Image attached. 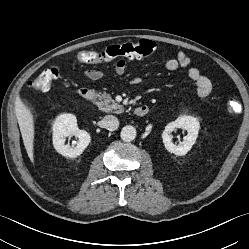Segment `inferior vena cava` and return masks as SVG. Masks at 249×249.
<instances>
[{
	"mask_svg": "<svg viewBox=\"0 0 249 249\" xmlns=\"http://www.w3.org/2000/svg\"><path fill=\"white\" fill-rule=\"evenodd\" d=\"M103 126L109 131H115L119 127V121L117 117L113 115H107L103 118Z\"/></svg>",
	"mask_w": 249,
	"mask_h": 249,
	"instance_id": "obj_1",
	"label": "inferior vena cava"
}]
</instances>
